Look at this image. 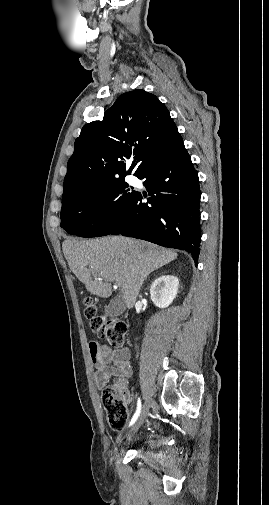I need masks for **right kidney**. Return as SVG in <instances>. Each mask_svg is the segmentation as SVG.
Returning a JSON list of instances; mask_svg holds the SVG:
<instances>
[{
	"instance_id": "right-kidney-1",
	"label": "right kidney",
	"mask_w": 269,
	"mask_h": 505,
	"mask_svg": "<svg viewBox=\"0 0 269 505\" xmlns=\"http://www.w3.org/2000/svg\"><path fill=\"white\" fill-rule=\"evenodd\" d=\"M179 280L172 275H162L151 285L152 302L159 308L168 307L178 293Z\"/></svg>"
}]
</instances>
